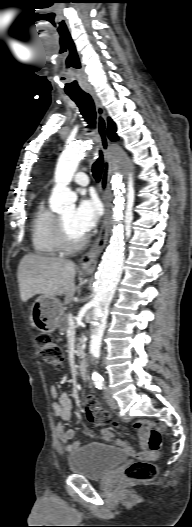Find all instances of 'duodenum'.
Here are the masks:
<instances>
[{
  "instance_id": "1",
  "label": "duodenum",
  "mask_w": 192,
  "mask_h": 527,
  "mask_svg": "<svg viewBox=\"0 0 192 527\" xmlns=\"http://www.w3.org/2000/svg\"><path fill=\"white\" fill-rule=\"evenodd\" d=\"M78 372L81 378H87L88 364L85 360L80 361V363L78 364Z\"/></svg>"
}]
</instances>
